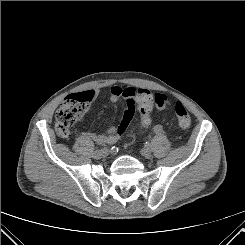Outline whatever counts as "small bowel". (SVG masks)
<instances>
[{
    "mask_svg": "<svg viewBox=\"0 0 245 245\" xmlns=\"http://www.w3.org/2000/svg\"><path fill=\"white\" fill-rule=\"evenodd\" d=\"M136 89L133 87H120L112 86L110 88V100L116 102L119 99H124L126 103V109L123 113L122 119L116 129H112L105 134H96L90 132H84L82 135L91 138L100 144H111L116 142L119 137L126 131L135 112L136 105ZM153 102L155 103V108L160 111H167L171 107V100L163 95L162 93H155L153 95Z\"/></svg>",
    "mask_w": 245,
    "mask_h": 245,
    "instance_id": "1",
    "label": "small bowel"
}]
</instances>
